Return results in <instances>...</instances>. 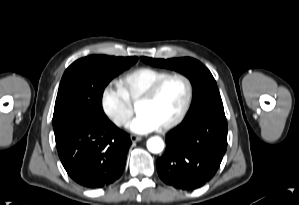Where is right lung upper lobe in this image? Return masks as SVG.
<instances>
[{"label":"right lung upper lobe","mask_w":299,"mask_h":205,"mask_svg":"<svg viewBox=\"0 0 299 205\" xmlns=\"http://www.w3.org/2000/svg\"><path fill=\"white\" fill-rule=\"evenodd\" d=\"M127 59H129V60H132V61L136 62L138 58H137V57H127Z\"/></svg>","instance_id":"right-lung-upper-lobe-1"}]
</instances>
